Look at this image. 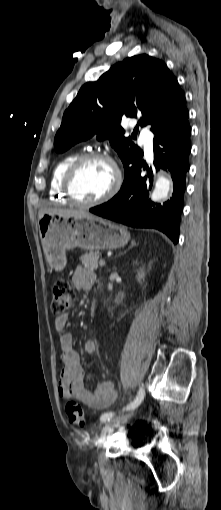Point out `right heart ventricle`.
Here are the masks:
<instances>
[{
  "label": "right heart ventricle",
  "mask_w": 221,
  "mask_h": 510,
  "mask_svg": "<svg viewBox=\"0 0 221 510\" xmlns=\"http://www.w3.org/2000/svg\"><path fill=\"white\" fill-rule=\"evenodd\" d=\"M77 157V153H69L61 158L54 166L49 188V197L52 201L62 204L69 202L62 191L63 177L69 166Z\"/></svg>",
  "instance_id": "obj_1"
}]
</instances>
